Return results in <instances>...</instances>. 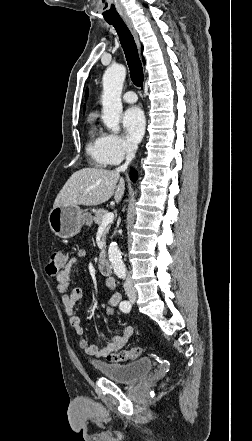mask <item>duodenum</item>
Listing matches in <instances>:
<instances>
[{
	"instance_id": "duodenum-1",
	"label": "duodenum",
	"mask_w": 252,
	"mask_h": 441,
	"mask_svg": "<svg viewBox=\"0 0 252 441\" xmlns=\"http://www.w3.org/2000/svg\"><path fill=\"white\" fill-rule=\"evenodd\" d=\"M99 270L105 274L110 276L112 274V266L107 257L101 256L98 262Z\"/></svg>"
}]
</instances>
